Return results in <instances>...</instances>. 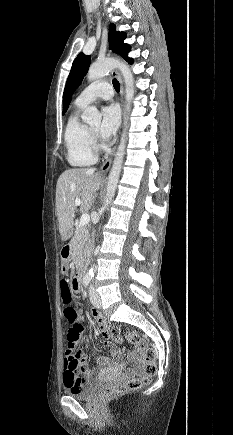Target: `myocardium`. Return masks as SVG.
Returning <instances> with one entry per match:
<instances>
[{
    "label": "myocardium",
    "instance_id": "myocardium-1",
    "mask_svg": "<svg viewBox=\"0 0 233 435\" xmlns=\"http://www.w3.org/2000/svg\"><path fill=\"white\" fill-rule=\"evenodd\" d=\"M89 132L91 135H94L96 133V131L92 130L91 128H89Z\"/></svg>",
    "mask_w": 233,
    "mask_h": 435
}]
</instances>
